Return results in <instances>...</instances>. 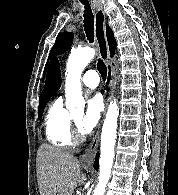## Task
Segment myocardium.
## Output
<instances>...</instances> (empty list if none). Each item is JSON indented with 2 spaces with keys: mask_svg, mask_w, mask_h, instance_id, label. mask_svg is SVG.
I'll list each match as a JSON object with an SVG mask.
<instances>
[{
  "mask_svg": "<svg viewBox=\"0 0 178 195\" xmlns=\"http://www.w3.org/2000/svg\"><path fill=\"white\" fill-rule=\"evenodd\" d=\"M71 122L73 123V129H72V138H74L76 141L82 140V134L78 128V124L74 119H71Z\"/></svg>",
  "mask_w": 178,
  "mask_h": 195,
  "instance_id": "1",
  "label": "myocardium"
}]
</instances>
